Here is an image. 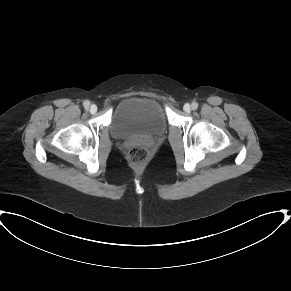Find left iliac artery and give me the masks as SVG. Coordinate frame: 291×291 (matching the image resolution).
Instances as JSON below:
<instances>
[{"instance_id": "1", "label": "left iliac artery", "mask_w": 291, "mask_h": 291, "mask_svg": "<svg viewBox=\"0 0 291 291\" xmlns=\"http://www.w3.org/2000/svg\"><path fill=\"white\" fill-rule=\"evenodd\" d=\"M191 108L193 110H196L198 108V103L197 102H193L192 105H191Z\"/></svg>"}]
</instances>
